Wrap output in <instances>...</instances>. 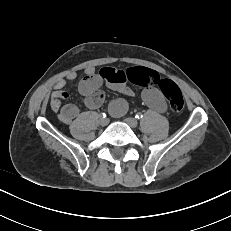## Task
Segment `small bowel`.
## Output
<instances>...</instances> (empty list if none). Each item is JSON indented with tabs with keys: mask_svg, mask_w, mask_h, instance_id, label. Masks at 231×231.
<instances>
[{
	"mask_svg": "<svg viewBox=\"0 0 231 231\" xmlns=\"http://www.w3.org/2000/svg\"><path fill=\"white\" fill-rule=\"evenodd\" d=\"M84 74L85 76L79 82L78 89L83 96L85 106L89 109H97L103 104L105 95L101 87L104 84L127 97L134 96V92L127 85L126 72L123 70L108 67L95 70L94 68L87 67L84 70ZM76 78V72H68L54 84L50 95L51 110L57 113L59 120L66 125H69L79 115V109L76 105H61V101L69 97L64 88L68 82ZM141 98L149 108L155 111L164 112L167 109L164 95L155 87H146L143 89ZM109 109L112 115L116 117L122 116L127 110V104L124 100L119 99L112 102Z\"/></svg>",
	"mask_w": 231,
	"mask_h": 231,
	"instance_id": "1",
	"label": "small bowel"
}]
</instances>
